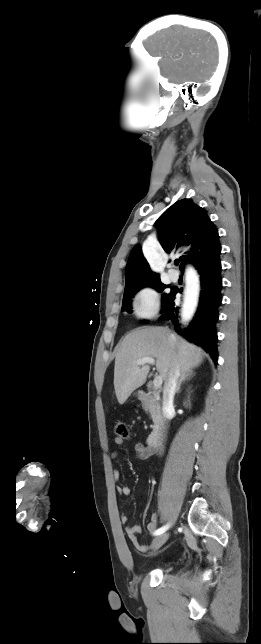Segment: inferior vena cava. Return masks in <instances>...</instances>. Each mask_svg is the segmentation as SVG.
I'll list each match as a JSON object with an SVG mask.
<instances>
[{"label":"inferior vena cava","instance_id":"1","mask_svg":"<svg viewBox=\"0 0 261 644\" xmlns=\"http://www.w3.org/2000/svg\"><path fill=\"white\" fill-rule=\"evenodd\" d=\"M179 377L180 369L177 362L175 361L169 372L168 379L164 383L163 388L162 413L165 421H167V412L173 408V400Z\"/></svg>","mask_w":261,"mask_h":644}]
</instances>
